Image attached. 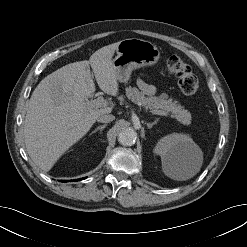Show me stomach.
Wrapping results in <instances>:
<instances>
[{
	"label": "stomach",
	"mask_w": 247,
	"mask_h": 247,
	"mask_svg": "<svg viewBox=\"0 0 247 247\" xmlns=\"http://www.w3.org/2000/svg\"><path fill=\"white\" fill-rule=\"evenodd\" d=\"M117 55L112 60L116 77L125 83L130 79L134 69L156 64L160 57L157 46L149 41L128 38L119 42Z\"/></svg>",
	"instance_id": "stomach-1"
}]
</instances>
